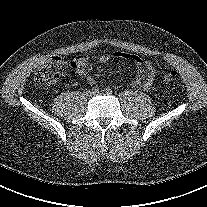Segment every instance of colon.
Instances as JSON below:
<instances>
[{
    "instance_id": "colon-1",
    "label": "colon",
    "mask_w": 207,
    "mask_h": 207,
    "mask_svg": "<svg viewBox=\"0 0 207 207\" xmlns=\"http://www.w3.org/2000/svg\"><path fill=\"white\" fill-rule=\"evenodd\" d=\"M67 63L61 57H53L48 60L34 76V81L38 86H49L56 82L59 75L65 70ZM162 81L171 84L176 77V72L164 71L162 73Z\"/></svg>"
}]
</instances>
